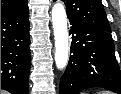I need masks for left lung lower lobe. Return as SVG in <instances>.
<instances>
[{
    "mask_svg": "<svg viewBox=\"0 0 121 94\" xmlns=\"http://www.w3.org/2000/svg\"><path fill=\"white\" fill-rule=\"evenodd\" d=\"M70 59L60 81V94L101 87L121 94V73L110 32L69 19Z\"/></svg>",
    "mask_w": 121,
    "mask_h": 94,
    "instance_id": "obj_1",
    "label": "left lung lower lobe"
}]
</instances>
